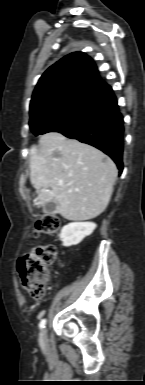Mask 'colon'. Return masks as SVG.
<instances>
[{
    "label": "colon",
    "mask_w": 145,
    "mask_h": 385,
    "mask_svg": "<svg viewBox=\"0 0 145 385\" xmlns=\"http://www.w3.org/2000/svg\"><path fill=\"white\" fill-rule=\"evenodd\" d=\"M61 226L60 218L53 214L39 217L33 227L35 237L55 234ZM57 257L56 247L52 244L38 245L24 254L18 263V272L22 287L34 299H41L45 295L49 281L50 267Z\"/></svg>",
    "instance_id": "1"
}]
</instances>
